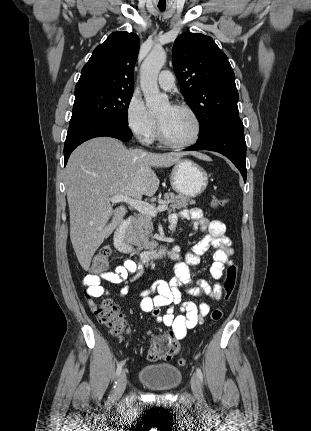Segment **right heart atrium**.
Returning <instances> with one entry per match:
<instances>
[{"label": "right heart atrium", "mask_w": 311, "mask_h": 431, "mask_svg": "<svg viewBox=\"0 0 311 431\" xmlns=\"http://www.w3.org/2000/svg\"><path fill=\"white\" fill-rule=\"evenodd\" d=\"M125 122L129 132L138 140L149 143L155 134L157 121L143 100L132 93L125 108Z\"/></svg>", "instance_id": "obj_1"}]
</instances>
